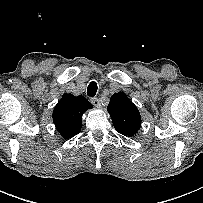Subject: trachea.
<instances>
[{"label":"trachea","mask_w":203,"mask_h":203,"mask_svg":"<svg viewBox=\"0 0 203 203\" xmlns=\"http://www.w3.org/2000/svg\"><path fill=\"white\" fill-rule=\"evenodd\" d=\"M97 83L92 81L90 82V84L88 85V88H87V94L88 96L90 97H93L96 95V92H97Z\"/></svg>","instance_id":"obj_1"}]
</instances>
